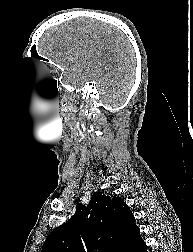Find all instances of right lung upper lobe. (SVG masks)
<instances>
[{
    "label": "right lung upper lobe",
    "mask_w": 193,
    "mask_h": 252,
    "mask_svg": "<svg viewBox=\"0 0 193 252\" xmlns=\"http://www.w3.org/2000/svg\"><path fill=\"white\" fill-rule=\"evenodd\" d=\"M138 231L135 218L120 197L94 192L87 207L46 238L42 252H119Z\"/></svg>",
    "instance_id": "cb5924a9"
}]
</instances>
